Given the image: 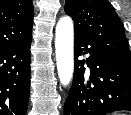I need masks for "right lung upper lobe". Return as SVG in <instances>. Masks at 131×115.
<instances>
[{
  "label": "right lung upper lobe",
  "instance_id": "1",
  "mask_svg": "<svg viewBox=\"0 0 131 115\" xmlns=\"http://www.w3.org/2000/svg\"><path fill=\"white\" fill-rule=\"evenodd\" d=\"M31 0H0V50L32 37Z\"/></svg>",
  "mask_w": 131,
  "mask_h": 115
}]
</instances>
